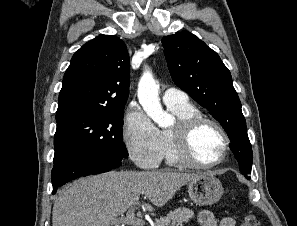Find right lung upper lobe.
<instances>
[{"mask_svg":"<svg viewBox=\"0 0 297 226\" xmlns=\"http://www.w3.org/2000/svg\"><path fill=\"white\" fill-rule=\"evenodd\" d=\"M129 79L124 42L114 35L92 39L76 51L64 74L56 120L78 113L123 111Z\"/></svg>","mask_w":297,"mask_h":226,"instance_id":"cb5924a9","label":"right lung upper lobe"}]
</instances>
